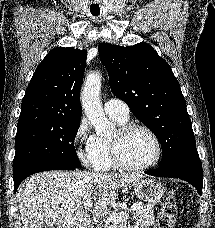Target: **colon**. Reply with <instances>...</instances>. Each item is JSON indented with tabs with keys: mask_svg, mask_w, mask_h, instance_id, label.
I'll return each mask as SVG.
<instances>
[{
	"mask_svg": "<svg viewBox=\"0 0 215 228\" xmlns=\"http://www.w3.org/2000/svg\"><path fill=\"white\" fill-rule=\"evenodd\" d=\"M177 220V205L175 200L167 198L163 207L160 209L157 220V228H174Z\"/></svg>",
	"mask_w": 215,
	"mask_h": 228,
	"instance_id": "1",
	"label": "colon"
}]
</instances>
